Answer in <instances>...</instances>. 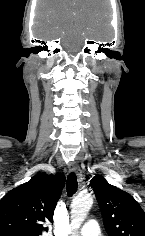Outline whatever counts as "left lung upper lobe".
<instances>
[{
	"label": "left lung upper lobe",
	"instance_id": "obj_1",
	"mask_svg": "<svg viewBox=\"0 0 145 236\" xmlns=\"http://www.w3.org/2000/svg\"><path fill=\"white\" fill-rule=\"evenodd\" d=\"M90 185L109 236H145V213L129 193L110 185L102 175L93 177Z\"/></svg>",
	"mask_w": 145,
	"mask_h": 236
}]
</instances>
